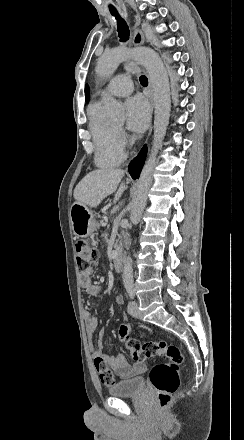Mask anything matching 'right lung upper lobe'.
<instances>
[{
    "label": "right lung upper lobe",
    "instance_id": "right-lung-upper-lobe-1",
    "mask_svg": "<svg viewBox=\"0 0 244 440\" xmlns=\"http://www.w3.org/2000/svg\"><path fill=\"white\" fill-rule=\"evenodd\" d=\"M89 98H90L89 87H88V85H86V87H85V99H86V101H88Z\"/></svg>",
    "mask_w": 244,
    "mask_h": 440
}]
</instances>
